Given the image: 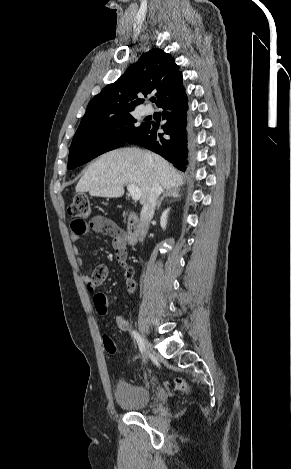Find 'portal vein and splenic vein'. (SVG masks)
<instances>
[{
	"instance_id": "18ae733b",
	"label": "portal vein and splenic vein",
	"mask_w": 291,
	"mask_h": 469,
	"mask_svg": "<svg viewBox=\"0 0 291 469\" xmlns=\"http://www.w3.org/2000/svg\"><path fill=\"white\" fill-rule=\"evenodd\" d=\"M127 190L130 193L132 199L137 201L141 197V189L133 184H128Z\"/></svg>"
}]
</instances>
